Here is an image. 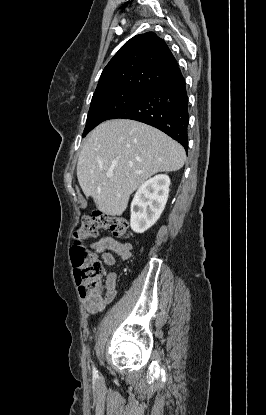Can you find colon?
I'll return each instance as SVG.
<instances>
[{
  "label": "colon",
  "mask_w": 266,
  "mask_h": 415,
  "mask_svg": "<svg viewBox=\"0 0 266 415\" xmlns=\"http://www.w3.org/2000/svg\"><path fill=\"white\" fill-rule=\"evenodd\" d=\"M100 229L109 230L116 237L127 236L128 224L118 217L102 212L82 217L74 232V245L71 248V260L80 292L89 293L96 298H105L108 288L103 285L104 268L99 258L89 252L82 241L98 235Z\"/></svg>",
  "instance_id": "colon-1"
}]
</instances>
